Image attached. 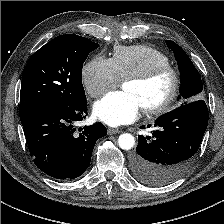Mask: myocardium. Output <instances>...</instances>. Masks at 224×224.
<instances>
[{"label": "myocardium", "mask_w": 224, "mask_h": 224, "mask_svg": "<svg viewBox=\"0 0 224 224\" xmlns=\"http://www.w3.org/2000/svg\"><path fill=\"white\" fill-rule=\"evenodd\" d=\"M169 74L171 77V88L167 96L159 103L143 108L146 114L163 113L171 107L177 99L181 87V75L177 68L170 64L153 66L146 71L133 75L126 79L127 82L147 83L162 74Z\"/></svg>", "instance_id": "1"}]
</instances>
